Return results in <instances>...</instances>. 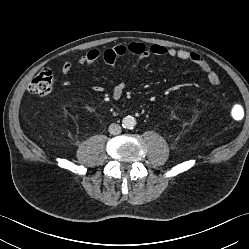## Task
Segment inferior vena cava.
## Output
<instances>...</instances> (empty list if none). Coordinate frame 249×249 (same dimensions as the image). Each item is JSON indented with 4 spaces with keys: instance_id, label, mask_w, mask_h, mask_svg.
I'll use <instances>...</instances> for the list:
<instances>
[{
    "instance_id": "inferior-vena-cava-1",
    "label": "inferior vena cava",
    "mask_w": 249,
    "mask_h": 249,
    "mask_svg": "<svg viewBox=\"0 0 249 249\" xmlns=\"http://www.w3.org/2000/svg\"><path fill=\"white\" fill-rule=\"evenodd\" d=\"M109 132L112 135H118L121 133V126L119 124L112 123L109 126Z\"/></svg>"
}]
</instances>
